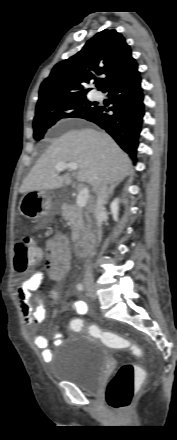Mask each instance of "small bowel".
Wrapping results in <instances>:
<instances>
[{
  "mask_svg": "<svg viewBox=\"0 0 177 440\" xmlns=\"http://www.w3.org/2000/svg\"><path fill=\"white\" fill-rule=\"evenodd\" d=\"M71 251L68 238L63 234H56L46 244L45 250V272L38 271L29 278L15 283L13 292L20 305V309L26 325L37 326L46 316L44 300L39 295H33V292L39 289L45 275L55 283L60 282L70 268ZM49 297L57 300L60 297V291L57 286H53L49 290ZM33 300V303L31 302ZM72 309L77 315H85L88 311L87 305L83 301L72 302ZM63 335L55 332L53 335V343L61 345ZM34 345L42 353L45 360L49 361L52 357V350L49 347L48 338L44 335H36L34 337Z\"/></svg>",
  "mask_w": 177,
  "mask_h": 440,
  "instance_id": "1",
  "label": "small bowel"
}]
</instances>
